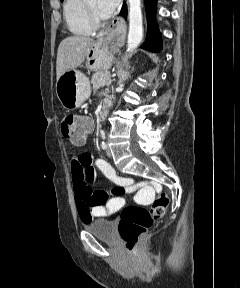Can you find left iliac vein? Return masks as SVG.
<instances>
[{
  "mask_svg": "<svg viewBox=\"0 0 240 288\" xmlns=\"http://www.w3.org/2000/svg\"><path fill=\"white\" fill-rule=\"evenodd\" d=\"M106 154H107L108 157L112 156V151L110 150V148L106 149Z\"/></svg>",
  "mask_w": 240,
  "mask_h": 288,
  "instance_id": "left-iliac-vein-1",
  "label": "left iliac vein"
}]
</instances>
